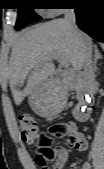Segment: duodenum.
Here are the masks:
<instances>
[{
	"label": "duodenum",
	"mask_w": 104,
	"mask_h": 169,
	"mask_svg": "<svg viewBox=\"0 0 104 169\" xmlns=\"http://www.w3.org/2000/svg\"><path fill=\"white\" fill-rule=\"evenodd\" d=\"M55 78L61 79L63 75L61 73H57L54 76ZM79 103L74 109V117L78 122H87L89 120L90 111L89 108L91 106V96L86 95L84 89L81 88L78 91Z\"/></svg>",
	"instance_id": "obj_1"
}]
</instances>
